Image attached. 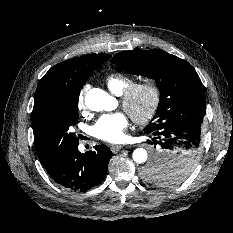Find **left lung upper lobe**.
<instances>
[{
	"label": "left lung upper lobe",
	"mask_w": 233,
	"mask_h": 233,
	"mask_svg": "<svg viewBox=\"0 0 233 233\" xmlns=\"http://www.w3.org/2000/svg\"><path fill=\"white\" fill-rule=\"evenodd\" d=\"M134 75L152 77L160 90L157 114L145 128L158 129L163 123L183 118L203 122L206 113L204 86L185 60L159 49L117 53L110 61ZM199 161L197 156H180L167 163L150 162L142 177L154 184H178L187 179Z\"/></svg>",
	"instance_id": "left-lung-upper-lobe-1"
}]
</instances>
